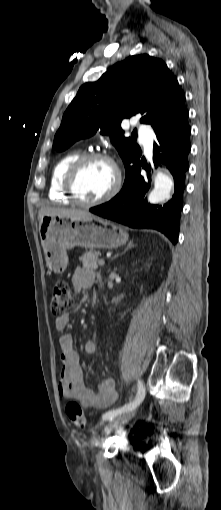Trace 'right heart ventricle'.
Segmentation results:
<instances>
[{"label": "right heart ventricle", "mask_w": 221, "mask_h": 510, "mask_svg": "<svg viewBox=\"0 0 221 510\" xmlns=\"http://www.w3.org/2000/svg\"><path fill=\"white\" fill-rule=\"evenodd\" d=\"M80 156L79 151H70L63 155L54 165L50 178L49 197L57 203L68 204L71 200L63 190L64 177L71 164Z\"/></svg>", "instance_id": "obj_1"}]
</instances>
